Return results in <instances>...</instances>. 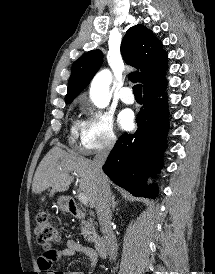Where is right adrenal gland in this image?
<instances>
[{
	"label": "right adrenal gland",
	"mask_w": 215,
	"mask_h": 274,
	"mask_svg": "<svg viewBox=\"0 0 215 274\" xmlns=\"http://www.w3.org/2000/svg\"><path fill=\"white\" fill-rule=\"evenodd\" d=\"M111 201H112V210L114 211V210H115L116 205L118 204V202H117V201H115V195H113V196H112Z\"/></svg>",
	"instance_id": "1"
}]
</instances>
